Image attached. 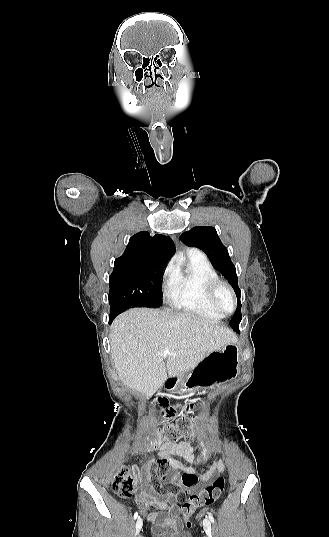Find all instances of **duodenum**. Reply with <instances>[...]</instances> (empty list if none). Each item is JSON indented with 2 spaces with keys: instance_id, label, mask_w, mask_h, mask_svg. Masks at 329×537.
<instances>
[{
  "instance_id": "410a0bca",
  "label": "duodenum",
  "mask_w": 329,
  "mask_h": 537,
  "mask_svg": "<svg viewBox=\"0 0 329 537\" xmlns=\"http://www.w3.org/2000/svg\"><path fill=\"white\" fill-rule=\"evenodd\" d=\"M177 386V380L174 379V378H168L165 382H164V389L165 390H173L175 387ZM159 404L162 403L161 400L158 401Z\"/></svg>"
}]
</instances>
